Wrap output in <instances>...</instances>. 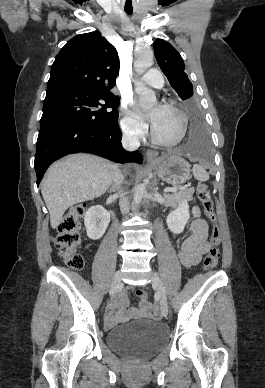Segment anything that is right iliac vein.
Masks as SVG:
<instances>
[{"instance_id": "63e3f726", "label": "right iliac vein", "mask_w": 265, "mask_h": 388, "mask_svg": "<svg viewBox=\"0 0 265 388\" xmlns=\"http://www.w3.org/2000/svg\"><path fill=\"white\" fill-rule=\"evenodd\" d=\"M121 285V272L117 271L113 277L112 284L110 287V296L113 297Z\"/></svg>"}]
</instances>
